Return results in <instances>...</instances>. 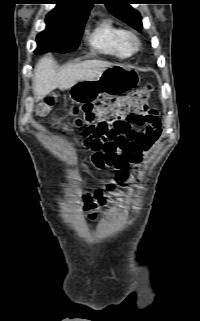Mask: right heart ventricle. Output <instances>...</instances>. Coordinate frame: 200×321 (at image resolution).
Returning <instances> with one entry per match:
<instances>
[{"mask_svg": "<svg viewBox=\"0 0 200 321\" xmlns=\"http://www.w3.org/2000/svg\"><path fill=\"white\" fill-rule=\"evenodd\" d=\"M127 31L110 18L99 21L89 35V44L103 54L126 59L131 56L125 44Z\"/></svg>", "mask_w": 200, "mask_h": 321, "instance_id": "right-heart-ventricle-1", "label": "right heart ventricle"}]
</instances>
